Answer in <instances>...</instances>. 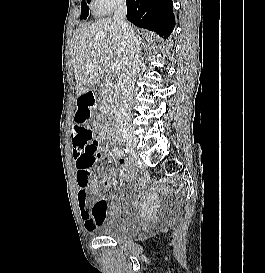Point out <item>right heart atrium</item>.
Listing matches in <instances>:
<instances>
[{"label": "right heart atrium", "mask_w": 265, "mask_h": 273, "mask_svg": "<svg viewBox=\"0 0 265 273\" xmlns=\"http://www.w3.org/2000/svg\"><path fill=\"white\" fill-rule=\"evenodd\" d=\"M125 0H91V5L95 13L104 14L122 6Z\"/></svg>", "instance_id": "1"}]
</instances>
